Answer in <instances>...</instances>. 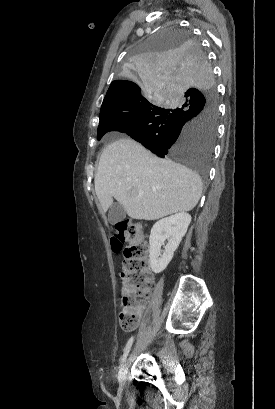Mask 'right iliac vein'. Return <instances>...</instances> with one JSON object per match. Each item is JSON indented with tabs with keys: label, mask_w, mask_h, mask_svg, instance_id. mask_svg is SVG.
<instances>
[{
	"label": "right iliac vein",
	"mask_w": 275,
	"mask_h": 409,
	"mask_svg": "<svg viewBox=\"0 0 275 409\" xmlns=\"http://www.w3.org/2000/svg\"><path fill=\"white\" fill-rule=\"evenodd\" d=\"M127 364L128 363H124V365L121 367L120 369V373H119V382L121 386H125L126 384V372H127Z\"/></svg>",
	"instance_id": "obj_1"
}]
</instances>
